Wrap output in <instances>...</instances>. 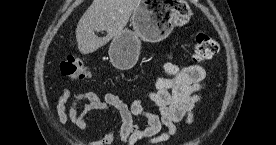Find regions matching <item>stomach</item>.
<instances>
[{"label": "stomach", "instance_id": "obj_1", "mask_svg": "<svg viewBox=\"0 0 276 145\" xmlns=\"http://www.w3.org/2000/svg\"><path fill=\"white\" fill-rule=\"evenodd\" d=\"M191 16L192 11L183 0H140L131 17L132 30L124 29L109 46L112 65L122 71L131 69L138 60L142 40L160 42Z\"/></svg>", "mask_w": 276, "mask_h": 145}]
</instances>
